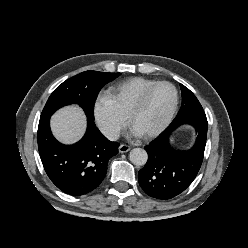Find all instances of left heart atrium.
Wrapping results in <instances>:
<instances>
[{"label":"left heart atrium","instance_id":"left-heart-atrium-1","mask_svg":"<svg viewBox=\"0 0 248 248\" xmlns=\"http://www.w3.org/2000/svg\"><path fill=\"white\" fill-rule=\"evenodd\" d=\"M132 134H133L134 136H140V135H141V134L138 133L135 129H133Z\"/></svg>","mask_w":248,"mask_h":248}]
</instances>
